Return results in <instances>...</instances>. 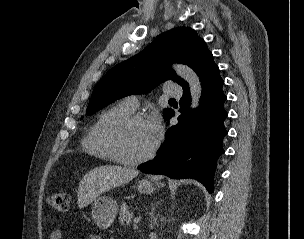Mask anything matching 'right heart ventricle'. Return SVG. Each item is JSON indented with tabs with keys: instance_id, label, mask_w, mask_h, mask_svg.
<instances>
[{
	"instance_id": "e07e8e85",
	"label": "right heart ventricle",
	"mask_w": 304,
	"mask_h": 239,
	"mask_svg": "<svg viewBox=\"0 0 304 239\" xmlns=\"http://www.w3.org/2000/svg\"><path fill=\"white\" fill-rule=\"evenodd\" d=\"M132 112L133 109L121 102L108 107L98 114L82 139V147L85 152L106 161H114L113 154L105 141V130L115 119Z\"/></svg>"
}]
</instances>
